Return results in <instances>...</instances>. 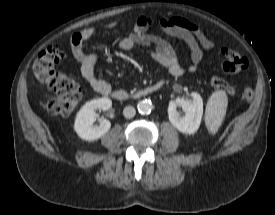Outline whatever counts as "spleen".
Masks as SVG:
<instances>
[{"instance_id":"obj_1","label":"spleen","mask_w":275,"mask_h":215,"mask_svg":"<svg viewBox=\"0 0 275 215\" xmlns=\"http://www.w3.org/2000/svg\"><path fill=\"white\" fill-rule=\"evenodd\" d=\"M227 95L218 90L210 97L206 108V124L209 131L214 134L220 127L226 113Z\"/></svg>"}]
</instances>
